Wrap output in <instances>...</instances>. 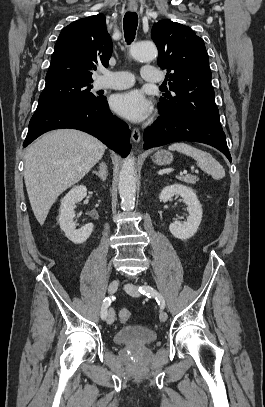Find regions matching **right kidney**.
Returning <instances> with one entry per match:
<instances>
[{"mask_svg":"<svg viewBox=\"0 0 265 407\" xmlns=\"http://www.w3.org/2000/svg\"><path fill=\"white\" fill-rule=\"evenodd\" d=\"M86 195L87 189L85 186H75L65 195L61 202L58 222L65 236L75 244L84 243L91 235L94 227L92 223H88L77 230L73 222L76 204L85 198Z\"/></svg>","mask_w":265,"mask_h":407,"instance_id":"obj_1","label":"right kidney"}]
</instances>
